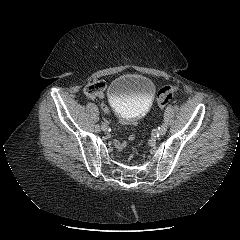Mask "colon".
Masks as SVG:
<instances>
[{"mask_svg": "<svg viewBox=\"0 0 240 240\" xmlns=\"http://www.w3.org/2000/svg\"><path fill=\"white\" fill-rule=\"evenodd\" d=\"M178 85H167L162 87L157 94V103L159 108L163 109L171 100L173 95L178 91ZM104 91V83L93 81L85 87V93L89 97L97 98L98 94Z\"/></svg>", "mask_w": 240, "mask_h": 240, "instance_id": "5ec220e1", "label": "colon"}]
</instances>
